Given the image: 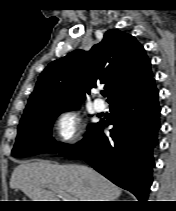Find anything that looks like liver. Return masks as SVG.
<instances>
[{
	"label": "liver",
	"mask_w": 176,
	"mask_h": 211,
	"mask_svg": "<svg viewBox=\"0 0 176 211\" xmlns=\"http://www.w3.org/2000/svg\"><path fill=\"white\" fill-rule=\"evenodd\" d=\"M10 188L23 191L32 201H59L56 190H64L78 201H115L121 195L119 187L90 167L44 160L18 165Z\"/></svg>",
	"instance_id": "obj_1"
}]
</instances>
